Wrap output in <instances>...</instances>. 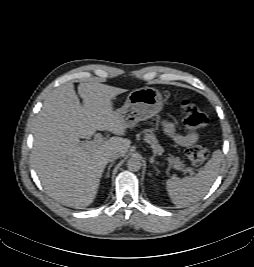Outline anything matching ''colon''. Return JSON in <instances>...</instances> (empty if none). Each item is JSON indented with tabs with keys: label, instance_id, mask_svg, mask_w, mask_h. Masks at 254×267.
I'll return each mask as SVG.
<instances>
[{
	"label": "colon",
	"instance_id": "obj_1",
	"mask_svg": "<svg viewBox=\"0 0 254 267\" xmlns=\"http://www.w3.org/2000/svg\"><path fill=\"white\" fill-rule=\"evenodd\" d=\"M183 111L182 124L187 130L204 128L209 123L208 116L195 104L185 100L181 104ZM187 158L194 167L203 165L210 156L209 149L201 144L190 146L186 150Z\"/></svg>",
	"mask_w": 254,
	"mask_h": 267
}]
</instances>
